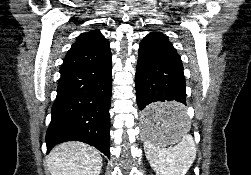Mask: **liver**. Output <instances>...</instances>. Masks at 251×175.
Wrapping results in <instances>:
<instances>
[{
	"label": "liver",
	"mask_w": 251,
	"mask_h": 175,
	"mask_svg": "<svg viewBox=\"0 0 251 175\" xmlns=\"http://www.w3.org/2000/svg\"><path fill=\"white\" fill-rule=\"evenodd\" d=\"M47 167L51 175H99L102 157L98 149L87 143L65 141L51 149Z\"/></svg>",
	"instance_id": "obj_1"
}]
</instances>
